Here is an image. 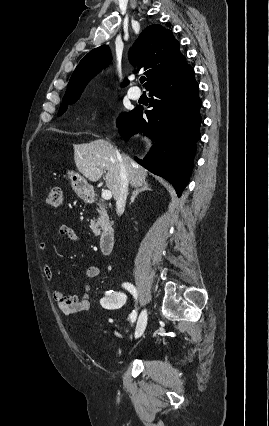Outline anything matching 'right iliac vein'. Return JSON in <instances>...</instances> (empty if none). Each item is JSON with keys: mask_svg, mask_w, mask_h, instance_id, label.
Returning <instances> with one entry per match:
<instances>
[{"mask_svg": "<svg viewBox=\"0 0 269 426\" xmlns=\"http://www.w3.org/2000/svg\"><path fill=\"white\" fill-rule=\"evenodd\" d=\"M146 324H147V310L144 309L137 321V326H136V331H135V338L140 337L143 333L144 330L146 328Z\"/></svg>", "mask_w": 269, "mask_h": 426, "instance_id": "1", "label": "right iliac vein"}]
</instances>
